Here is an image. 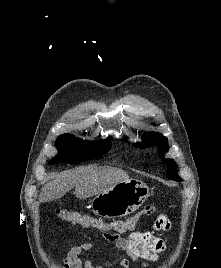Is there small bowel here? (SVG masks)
Masks as SVG:
<instances>
[{
	"mask_svg": "<svg viewBox=\"0 0 221 268\" xmlns=\"http://www.w3.org/2000/svg\"><path fill=\"white\" fill-rule=\"evenodd\" d=\"M170 227L169 220L158 216L153 228L156 231L167 230ZM126 233V232H125ZM122 232H103L101 238L113 244L114 251L121 250L127 255L118 261L119 268H131L133 262L142 261V267L148 266V262H157L159 256L166 250V243L151 232L131 230L127 235ZM97 250V246L91 242H83L69 249L63 258V268H107L89 259H83L87 252Z\"/></svg>",
	"mask_w": 221,
	"mask_h": 268,
	"instance_id": "small-bowel-1",
	"label": "small bowel"
}]
</instances>
